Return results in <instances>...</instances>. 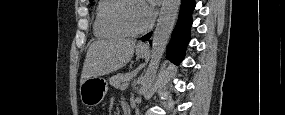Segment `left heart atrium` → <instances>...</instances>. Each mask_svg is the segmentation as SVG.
I'll return each instance as SVG.
<instances>
[{
  "label": "left heart atrium",
  "mask_w": 285,
  "mask_h": 115,
  "mask_svg": "<svg viewBox=\"0 0 285 115\" xmlns=\"http://www.w3.org/2000/svg\"><path fill=\"white\" fill-rule=\"evenodd\" d=\"M154 1H142V13L145 22V26L149 25L155 15V9L153 5Z\"/></svg>",
  "instance_id": "obj_1"
}]
</instances>
